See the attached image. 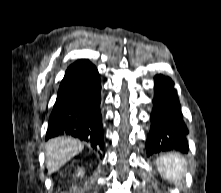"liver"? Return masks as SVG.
Here are the masks:
<instances>
[{"label": "liver", "mask_w": 221, "mask_h": 193, "mask_svg": "<svg viewBox=\"0 0 221 193\" xmlns=\"http://www.w3.org/2000/svg\"><path fill=\"white\" fill-rule=\"evenodd\" d=\"M84 145L79 140L69 137L51 139L45 145L46 167L48 174L58 171L71 158L77 155Z\"/></svg>", "instance_id": "liver-1"}]
</instances>
